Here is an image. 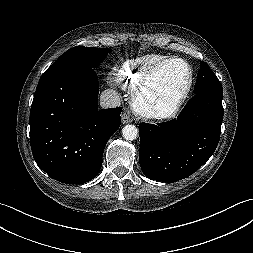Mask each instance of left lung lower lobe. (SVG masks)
I'll use <instances>...</instances> for the list:
<instances>
[{"mask_svg":"<svg viewBox=\"0 0 253 253\" xmlns=\"http://www.w3.org/2000/svg\"><path fill=\"white\" fill-rule=\"evenodd\" d=\"M223 93L203 91L176 119L141 123L139 162L150 179L175 182L197 171L214 153L223 121Z\"/></svg>","mask_w":253,"mask_h":253,"instance_id":"0a47b994","label":"left lung lower lobe"}]
</instances>
